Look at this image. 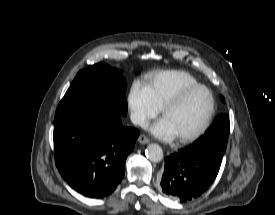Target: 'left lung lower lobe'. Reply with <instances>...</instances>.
Segmentation results:
<instances>
[{"label": "left lung lower lobe", "mask_w": 275, "mask_h": 215, "mask_svg": "<svg viewBox=\"0 0 275 215\" xmlns=\"http://www.w3.org/2000/svg\"><path fill=\"white\" fill-rule=\"evenodd\" d=\"M220 163L196 156L182 149L165 158L159 180L164 194L181 202L190 201L204 193L215 180Z\"/></svg>", "instance_id": "0a47b994"}]
</instances>
